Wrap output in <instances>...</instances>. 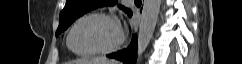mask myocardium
Wrapping results in <instances>:
<instances>
[{"instance_id": "myocardium-1", "label": "myocardium", "mask_w": 242, "mask_h": 64, "mask_svg": "<svg viewBox=\"0 0 242 64\" xmlns=\"http://www.w3.org/2000/svg\"><path fill=\"white\" fill-rule=\"evenodd\" d=\"M92 17L104 18V19L114 22L118 27L119 37H118L117 41L114 42L112 45L104 47V48L88 50V51H83V52L76 51L72 47V44H71L72 34L80 22H82L85 19L92 18ZM124 40H125V35L122 30L121 24L116 16L109 14V13H105V12H90V13L82 15L73 23V25L71 26L69 33L67 35V46L74 54H76L78 56L100 55V54H108V53H111V52L117 50L124 43Z\"/></svg>"}]
</instances>
